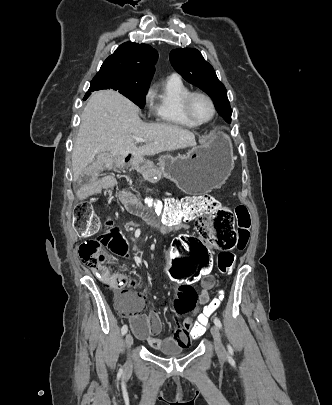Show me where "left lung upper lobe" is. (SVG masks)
Returning a JSON list of instances; mask_svg holds the SVG:
<instances>
[{"instance_id":"obj_1","label":"left lung upper lobe","mask_w":332,"mask_h":405,"mask_svg":"<svg viewBox=\"0 0 332 405\" xmlns=\"http://www.w3.org/2000/svg\"><path fill=\"white\" fill-rule=\"evenodd\" d=\"M173 68L188 82L207 93L226 122H231L232 110L227 91L219 81L213 67L193 48H178L170 52Z\"/></svg>"}]
</instances>
